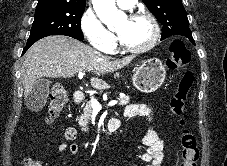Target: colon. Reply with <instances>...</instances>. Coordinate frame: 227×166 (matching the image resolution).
Listing matches in <instances>:
<instances>
[{
    "instance_id": "5ec220e1",
    "label": "colon",
    "mask_w": 227,
    "mask_h": 166,
    "mask_svg": "<svg viewBox=\"0 0 227 166\" xmlns=\"http://www.w3.org/2000/svg\"><path fill=\"white\" fill-rule=\"evenodd\" d=\"M170 58L168 67L174 70L178 67H184L188 64L191 53L181 40H174L170 45ZM194 76L190 71H186L180 78L177 88L170 99V110L183 125L185 104L188 92L192 87ZM68 93L59 86H53L50 90L48 121L52 122L67 104ZM181 162L179 166H197L199 158V149L195 136L188 130H184L181 134ZM25 166H42V162L29 158L24 163Z\"/></svg>"
}]
</instances>
